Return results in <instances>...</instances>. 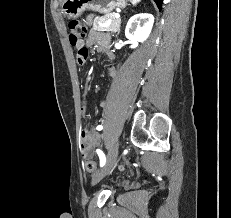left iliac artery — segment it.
I'll use <instances>...</instances> for the list:
<instances>
[{"label":"left iliac artery","instance_id":"44dca946","mask_svg":"<svg viewBox=\"0 0 231 218\" xmlns=\"http://www.w3.org/2000/svg\"><path fill=\"white\" fill-rule=\"evenodd\" d=\"M96 129H97V130H102V129H103V126H102V125H98V126L96 127ZM97 154H98V156H99V158H100V166L102 167V166H104V164H105V162H106L105 155H104V153H103L101 150H99V149H97Z\"/></svg>","mask_w":231,"mask_h":218}]
</instances>
